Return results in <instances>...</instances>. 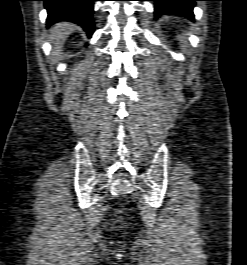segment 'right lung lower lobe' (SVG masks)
Returning a JSON list of instances; mask_svg holds the SVG:
<instances>
[{
  "instance_id": "obj_1",
  "label": "right lung lower lobe",
  "mask_w": 247,
  "mask_h": 265,
  "mask_svg": "<svg viewBox=\"0 0 247 265\" xmlns=\"http://www.w3.org/2000/svg\"><path fill=\"white\" fill-rule=\"evenodd\" d=\"M48 12L47 26L59 21L80 25L90 36L94 31L93 1L96 0H42Z\"/></svg>"
}]
</instances>
